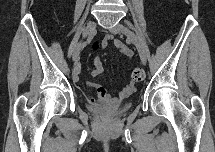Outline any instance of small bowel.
Listing matches in <instances>:
<instances>
[{
  "label": "small bowel",
  "instance_id": "obj_1",
  "mask_svg": "<svg viewBox=\"0 0 215 152\" xmlns=\"http://www.w3.org/2000/svg\"><path fill=\"white\" fill-rule=\"evenodd\" d=\"M108 41H112L114 43V45L116 46V48L118 50H120L122 53H124L126 56H128L130 58L132 57V55H133L132 50L129 47H127L125 44L120 42L119 40L115 39L114 36L107 35L106 40L103 42V46H106ZM93 64H94V67L91 71V75L93 77H98L103 72V67H102V63H101L100 58L96 57L93 61ZM79 72H80V67L76 66L74 71H73V80L74 81H78ZM89 87L92 89H95L97 92L96 99H94V98L89 99V101L91 103H93L95 101L105 102V101L109 100V95L107 94V92H106V90L102 84H100V83H89ZM134 91H135L134 83L129 82L123 87V89L120 92L119 97L125 98V97L129 96L130 94H132Z\"/></svg>",
  "mask_w": 215,
  "mask_h": 152
}]
</instances>
